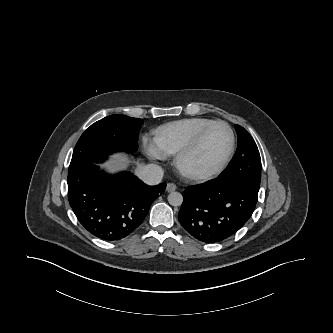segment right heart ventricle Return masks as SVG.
Returning a JSON list of instances; mask_svg holds the SVG:
<instances>
[{"mask_svg":"<svg viewBox=\"0 0 333 333\" xmlns=\"http://www.w3.org/2000/svg\"><path fill=\"white\" fill-rule=\"evenodd\" d=\"M213 121L209 118L193 117L162 125L154 132L155 147L162 155H176Z\"/></svg>","mask_w":333,"mask_h":333,"instance_id":"right-heart-ventricle-1","label":"right heart ventricle"}]
</instances>
